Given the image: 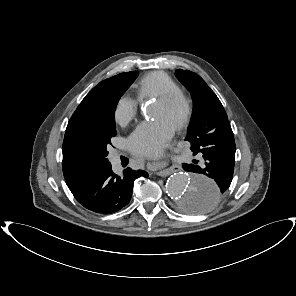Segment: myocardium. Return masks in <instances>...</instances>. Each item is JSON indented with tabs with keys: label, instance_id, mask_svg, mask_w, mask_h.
Segmentation results:
<instances>
[{
	"label": "myocardium",
	"instance_id": "myocardium-1",
	"mask_svg": "<svg viewBox=\"0 0 296 296\" xmlns=\"http://www.w3.org/2000/svg\"><path fill=\"white\" fill-rule=\"evenodd\" d=\"M156 102L164 106H178L180 108L181 113L174 130L180 131L190 122L193 114V103L191 98L181 90L159 96L156 98Z\"/></svg>",
	"mask_w": 296,
	"mask_h": 296
}]
</instances>
